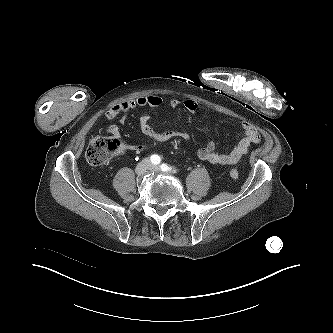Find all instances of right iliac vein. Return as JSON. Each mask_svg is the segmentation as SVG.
Listing matches in <instances>:
<instances>
[{"label": "right iliac vein", "instance_id": "obj_1", "mask_svg": "<svg viewBox=\"0 0 333 333\" xmlns=\"http://www.w3.org/2000/svg\"><path fill=\"white\" fill-rule=\"evenodd\" d=\"M151 167V163L148 159L142 160L135 168V172L138 176L144 175Z\"/></svg>", "mask_w": 333, "mask_h": 333}]
</instances>
